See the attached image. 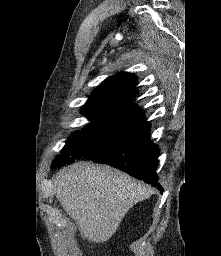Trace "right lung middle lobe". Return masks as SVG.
<instances>
[{
	"mask_svg": "<svg viewBox=\"0 0 221 256\" xmlns=\"http://www.w3.org/2000/svg\"><path fill=\"white\" fill-rule=\"evenodd\" d=\"M91 124L72 134L52 166L72 163L110 140L131 131L145 122L144 116L133 117L113 109L84 110Z\"/></svg>",
	"mask_w": 221,
	"mask_h": 256,
	"instance_id": "right-lung-middle-lobe-1",
	"label": "right lung middle lobe"
}]
</instances>
